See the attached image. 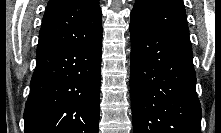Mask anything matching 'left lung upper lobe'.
<instances>
[{"label": "left lung upper lobe", "mask_w": 221, "mask_h": 133, "mask_svg": "<svg viewBox=\"0 0 221 133\" xmlns=\"http://www.w3.org/2000/svg\"><path fill=\"white\" fill-rule=\"evenodd\" d=\"M130 24L189 37L182 0H135Z\"/></svg>", "instance_id": "left-lung-upper-lobe-1"}]
</instances>
